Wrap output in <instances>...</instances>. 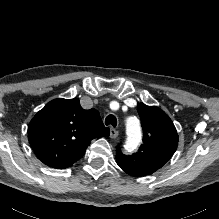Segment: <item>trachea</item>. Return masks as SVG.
I'll return each mask as SVG.
<instances>
[{
    "label": "trachea",
    "mask_w": 219,
    "mask_h": 219,
    "mask_svg": "<svg viewBox=\"0 0 219 219\" xmlns=\"http://www.w3.org/2000/svg\"><path fill=\"white\" fill-rule=\"evenodd\" d=\"M105 124L106 125H112L113 127H116V125H117L116 117L112 114L108 115L105 119Z\"/></svg>",
    "instance_id": "trachea-1"
}]
</instances>
